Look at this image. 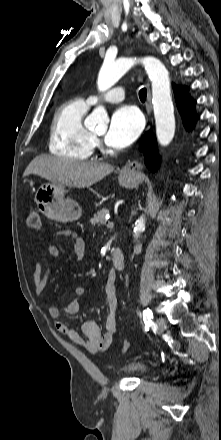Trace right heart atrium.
Here are the masks:
<instances>
[{"label":"right heart atrium","instance_id":"1","mask_svg":"<svg viewBox=\"0 0 221 440\" xmlns=\"http://www.w3.org/2000/svg\"><path fill=\"white\" fill-rule=\"evenodd\" d=\"M94 145L98 146L99 145V141L97 139H94Z\"/></svg>","mask_w":221,"mask_h":440}]
</instances>
